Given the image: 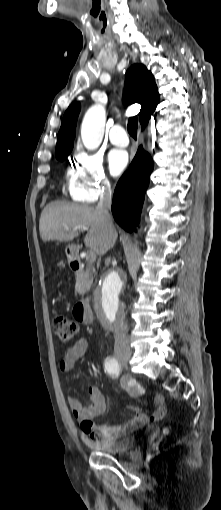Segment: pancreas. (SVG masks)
I'll return each instance as SVG.
<instances>
[{
  "mask_svg": "<svg viewBox=\"0 0 221 510\" xmlns=\"http://www.w3.org/2000/svg\"><path fill=\"white\" fill-rule=\"evenodd\" d=\"M94 272V267L88 265L86 271L82 274L76 276V285L75 291L80 295H83L91 286L93 282L92 274Z\"/></svg>",
  "mask_w": 221,
  "mask_h": 510,
  "instance_id": "obj_1",
  "label": "pancreas"
}]
</instances>
